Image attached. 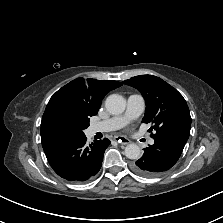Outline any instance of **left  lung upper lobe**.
I'll use <instances>...</instances> for the list:
<instances>
[{
	"label": "left lung upper lobe",
	"instance_id": "obj_1",
	"mask_svg": "<svg viewBox=\"0 0 223 223\" xmlns=\"http://www.w3.org/2000/svg\"><path fill=\"white\" fill-rule=\"evenodd\" d=\"M139 90L145 99L142 122L152 123L153 139L173 138L186 144L191 128V116L183 96L171 85L153 75H139L123 81Z\"/></svg>",
	"mask_w": 223,
	"mask_h": 223
}]
</instances>
